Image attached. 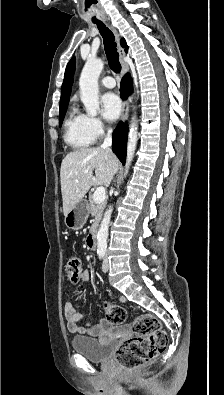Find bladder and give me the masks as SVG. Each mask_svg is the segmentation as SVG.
Here are the masks:
<instances>
[{"mask_svg":"<svg viewBox=\"0 0 224 395\" xmlns=\"http://www.w3.org/2000/svg\"><path fill=\"white\" fill-rule=\"evenodd\" d=\"M71 346L76 353L83 355L92 362H105L112 353L113 341H102L98 338L75 336Z\"/></svg>","mask_w":224,"mask_h":395,"instance_id":"bladder-1","label":"bladder"}]
</instances>
